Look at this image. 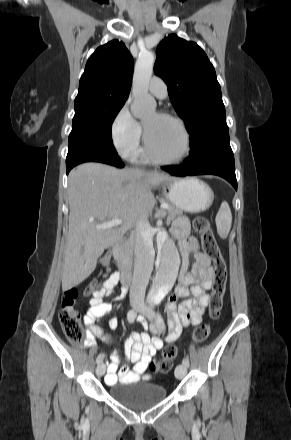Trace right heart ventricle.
<instances>
[{"label": "right heart ventricle", "mask_w": 291, "mask_h": 440, "mask_svg": "<svg viewBox=\"0 0 291 440\" xmlns=\"http://www.w3.org/2000/svg\"><path fill=\"white\" fill-rule=\"evenodd\" d=\"M132 158L135 161H137L139 163H142V164H146V163H149L151 161V159L146 154V152L144 150H142L141 148L138 150V152Z\"/></svg>", "instance_id": "1"}]
</instances>
